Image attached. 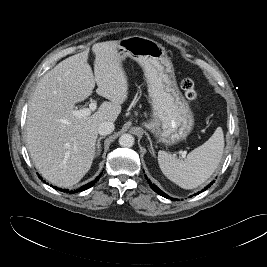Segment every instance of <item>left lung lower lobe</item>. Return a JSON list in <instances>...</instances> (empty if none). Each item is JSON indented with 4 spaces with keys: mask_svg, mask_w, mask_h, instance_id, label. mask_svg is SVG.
I'll use <instances>...</instances> for the list:
<instances>
[{
    "mask_svg": "<svg viewBox=\"0 0 267 267\" xmlns=\"http://www.w3.org/2000/svg\"><path fill=\"white\" fill-rule=\"evenodd\" d=\"M145 177H146V179H147V176H145ZM147 181H148V184H150L151 188H152L156 193H158L159 195H161V196H163V197H165V198H167V199L170 198L167 194H165L163 191H161L155 184H152V183L150 182L149 179H147ZM213 182H214V181H213ZM213 182H211L210 185H212ZM210 185H208L207 187H205L202 191L198 192L197 194H199V193L205 191L208 187H210ZM171 200L175 201L176 199L171 198Z\"/></svg>",
    "mask_w": 267,
    "mask_h": 267,
    "instance_id": "1",
    "label": "left lung lower lobe"
}]
</instances>
